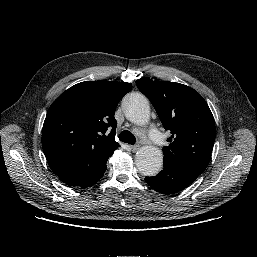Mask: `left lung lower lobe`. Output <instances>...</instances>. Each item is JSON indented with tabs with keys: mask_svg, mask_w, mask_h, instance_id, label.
Instances as JSON below:
<instances>
[{
	"mask_svg": "<svg viewBox=\"0 0 257 257\" xmlns=\"http://www.w3.org/2000/svg\"><path fill=\"white\" fill-rule=\"evenodd\" d=\"M199 175L180 164L164 161L163 169L146 183L161 194H173L188 187Z\"/></svg>",
	"mask_w": 257,
	"mask_h": 257,
	"instance_id": "left-lung-lower-lobe-1",
	"label": "left lung lower lobe"
}]
</instances>
